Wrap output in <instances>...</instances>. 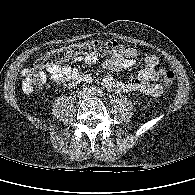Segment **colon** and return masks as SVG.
<instances>
[{
    "label": "colon",
    "instance_id": "obj_1",
    "mask_svg": "<svg viewBox=\"0 0 195 195\" xmlns=\"http://www.w3.org/2000/svg\"><path fill=\"white\" fill-rule=\"evenodd\" d=\"M123 46L114 39L91 40L85 43L72 44L66 47L52 50L35 62L27 64L22 70V88L30 93L43 84L45 77L41 70L48 69L62 62L76 58L80 55H105L121 54L124 52ZM163 82L170 86L175 81V74L172 71H165Z\"/></svg>",
    "mask_w": 195,
    "mask_h": 195
}]
</instances>
